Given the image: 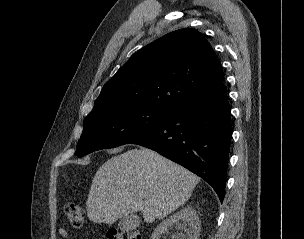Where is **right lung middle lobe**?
Returning a JSON list of instances; mask_svg holds the SVG:
<instances>
[{"label":"right lung middle lobe","instance_id":"obj_1","mask_svg":"<svg viewBox=\"0 0 304 239\" xmlns=\"http://www.w3.org/2000/svg\"><path fill=\"white\" fill-rule=\"evenodd\" d=\"M168 116L169 112L164 110L128 107L86 117L75 155L82 157L96 150L127 144L162 124Z\"/></svg>","mask_w":304,"mask_h":239}]
</instances>
